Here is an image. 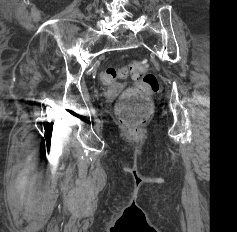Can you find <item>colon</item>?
Here are the masks:
<instances>
[{
  "mask_svg": "<svg viewBox=\"0 0 237 232\" xmlns=\"http://www.w3.org/2000/svg\"><path fill=\"white\" fill-rule=\"evenodd\" d=\"M128 75L133 77L135 84L121 95L116 114L130 133H137L151 116L149 97L158 90L159 84L154 74L147 73L146 63L139 60L122 68L109 66L101 73V79L105 83H112Z\"/></svg>",
  "mask_w": 237,
  "mask_h": 232,
  "instance_id": "5ec220e1",
  "label": "colon"
}]
</instances>
